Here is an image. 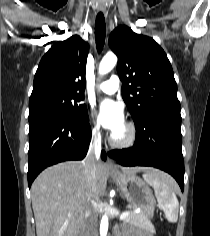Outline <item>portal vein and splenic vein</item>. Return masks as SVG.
Returning a JSON list of instances; mask_svg holds the SVG:
<instances>
[{
  "label": "portal vein and splenic vein",
  "mask_w": 210,
  "mask_h": 236,
  "mask_svg": "<svg viewBox=\"0 0 210 236\" xmlns=\"http://www.w3.org/2000/svg\"><path fill=\"white\" fill-rule=\"evenodd\" d=\"M129 211H125V212H123L121 215H120V219H124V218H126L128 215H129Z\"/></svg>",
  "instance_id": "obj_1"
}]
</instances>
